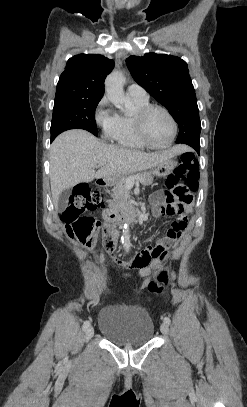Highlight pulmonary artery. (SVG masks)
<instances>
[{"label":"pulmonary artery","instance_id":"pulmonary-artery-1","mask_svg":"<svg viewBox=\"0 0 247 407\" xmlns=\"http://www.w3.org/2000/svg\"><path fill=\"white\" fill-rule=\"evenodd\" d=\"M127 92L132 99L146 101L149 98L146 90L135 83L128 86Z\"/></svg>","mask_w":247,"mask_h":407}]
</instances>
